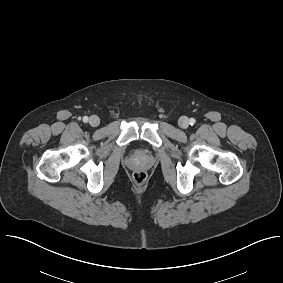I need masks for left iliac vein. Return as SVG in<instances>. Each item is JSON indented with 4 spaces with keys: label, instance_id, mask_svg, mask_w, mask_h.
Masks as SVG:
<instances>
[{
    "label": "left iliac vein",
    "instance_id": "1",
    "mask_svg": "<svg viewBox=\"0 0 283 283\" xmlns=\"http://www.w3.org/2000/svg\"><path fill=\"white\" fill-rule=\"evenodd\" d=\"M179 126L183 129H186L189 126V120L187 117L183 116L179 119Z\"/></svg>",
    "mask_w": 283,
    "mask_h": 283
}]
</instances>
